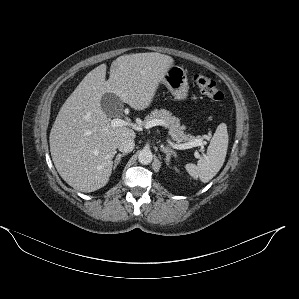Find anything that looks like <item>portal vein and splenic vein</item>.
Listing matches in <instances>:
<instances>
[{
    "label": "portal vein and splenic vein",
    "instance_id": "obj_1",
    "mask_svg": "<svg viewBox=\"0 0 299 299\" xmlns=\"http://www.w3.org/2000/svg\"><path fill=\"white\" fill-rule=\"evenodd\" d=\"M127 125L128 126H132L135 130H141L140 127L134 125L130 121L122 120V119H119V118H114L110 122V126L114 127V128L115 127H121V126H127ZM153 126H164V127H167V124L163 120L155 119V120L150 121L146 125V128H151ZM168 143L173 148L179 149V150L189 149V148H193V147H197V146H203L202 140H195V141L184 143V144H175V143L171 142L170 140H168ZM194 155H195L196 158H200V154L198 153V151H195Z\"/></svg>",
    "mask_w": 299,
    "mask_h": 299
}]
</instances>
